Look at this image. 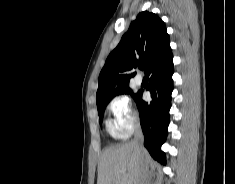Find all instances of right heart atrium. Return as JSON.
Here are the masks:
<instances>
[{"mask_svg":"<svg viewBox=\"0 0 235 184\" xmlns=\"http://www.w3.org/2000/svg\"><path fill=\"white\" fill-rule=\"evenodd\" d=\"M108 117L105 127L109 135L116 139L128 137L137 123V112L133 109L130 99L120 94L106 104Z\"/></svg>","mask_w":235,"mask_h":184,"instance_id":"right-heart-atrium-1","label":"right heart atrium"}]
</instances>
